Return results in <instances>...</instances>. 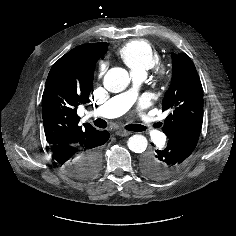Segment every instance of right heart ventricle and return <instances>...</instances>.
<instances>
[{
	"label": "right heart ventricle",
	"mask_w": 236,
	"mask_h": 236,
	"mask_svg": "<svg viewBox=\"0 0 236 236\" xmlns=\"http://www.w3.org/2000/svg\"><path fill=\"white\" fill-rule=\"evenodd\" d=\"M118 57L129 67L132 74L146 73L160 59L156 48L147 40L135 39L117 50Z\"/></svg>",
	"instance_id": "obj_1"
}]
</instances>
